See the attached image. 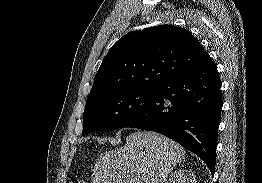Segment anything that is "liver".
Wrapping results in <instances>:
<instances>
[{"instance_id": "1", "label": "liver", "mask_w": 262, "mask_h": 183, "mask_svg": "<svg viewBox=\"0 0 262 183\" xmlns=\"http://www.w3.org/2000/svg\"><path fill=\"white\" fill-rule=\"evenodd\" d=\"M185 160V150L156 132L137 131L122 148L101 154L92 183H164L173 168Z\"/></svg>"}]
</instances>
